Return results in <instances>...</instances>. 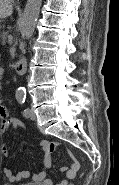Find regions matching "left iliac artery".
<instances>
[{
    "label": "left iliac artery",
    "mask_w": 119,
    "mask_h": 185,
    "mask_svg": "<svg viewBox=\"0 0 119 185\" xmlns=\"http://www.w3.org/2000/svg\"><path fill=\"white\" fill-rule=\"evenodd\" d=\"M17 101L19 102V104H24V102H25V96L22 97V98H17ZM23 115L25 117H28V115H29V109L28 108L24 109Z\"/></svg>",
    "instance_id": "left-iliac-artery-1"
}]
</instances>
